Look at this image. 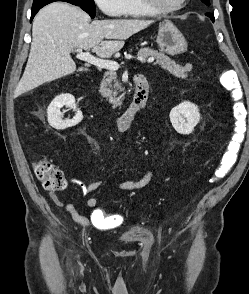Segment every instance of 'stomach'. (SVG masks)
Listing matches in <instances>:
<instances>
[{"instance_id":"0dacf381","label":"stomach","mask_w":249,"mask_h":294,"mask_svg":"<svg viewBox=\"0 0 249 294\" xmlns=\"http://www.w3.org/2000/svg\"><path fill=\"white\" fill-rule=\"evenodd\" d=\"M156 42L162 51L177 55L187 50V41L179 29L170 21L159 25Z\"/></svg>"}]
</instances>
